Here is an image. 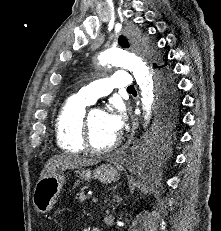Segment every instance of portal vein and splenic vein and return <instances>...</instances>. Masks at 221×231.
Listing matches in <instances>:
<instances>
[{
	"mask_svg": "<svg viewBox=\"0 0 221 231\" xmlns=\"http://www.w3.org/2000/svg\"><path fill=\"white\" fill-rule=\"evenodd\" d=\"M98 201V198L96 196H93L92 197V202H97Z\"/></svg>",
	"mask_w": 221,
	"mask_h": 231,
	"instance_id": "obj_1",
	"label": "portal vein and splenic vein"
}]
</instances>
